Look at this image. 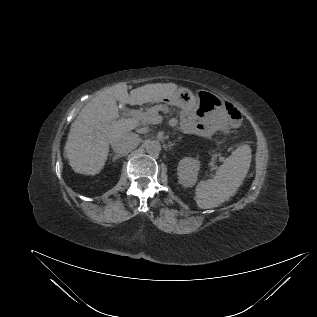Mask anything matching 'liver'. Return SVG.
Returning <instances> with one entry per match:
<instances>
[{
  "label": "liver",
  "mask_w": 317,
  "mask_h": 317,
  "mask_svg": "<svg viewBox=\"0 0 317 317\" xmlns=\"http://www.w3.org/2000/svg\"><path fill=\"white\" fill-rule=\"evenodd\" d=\"M125 83L109 87L93 97L71 124L64 154L76 173L96 175L103 168L109 145L131 133L139 123L133 118L118 119L121 104L142 105L172 96L178 86L174 83L146 84L130 91Z\"/></svg>",
  "instance_id": "obj_1"
}]
</instances>
